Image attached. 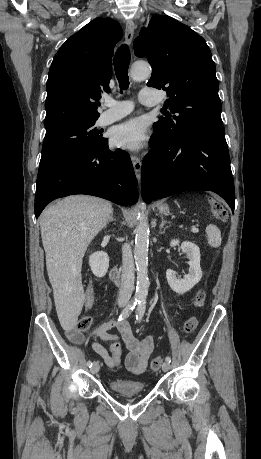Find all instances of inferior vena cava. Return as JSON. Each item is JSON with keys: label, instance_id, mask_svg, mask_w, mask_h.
Returning a JSON list of instances; mask_svg holds the SVG:
<instances>
[{"label": "inferior vena cava", "instance_id": "inferior-vena-cava-1", "mask_svg": "<svg viewBox=\"0 0 261 459\" xmlns=\"http://www.w3.org/2000/svg\"><path fill=\"white\" fill-rule=\"evenodd\" d=\"M134 288V261L129 244L122 246V269L121 283L118 295V303L126 304L129 302Z\"/></svg>", "mask_w": 261, "mask_h": 459}]
</instances>
